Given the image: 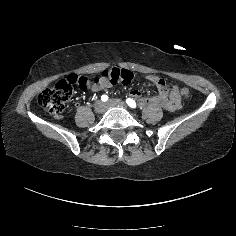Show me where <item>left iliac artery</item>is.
I'll return each instance as SVG.
<instances>
[{
    "label": "left iliac artery",
    "instance_id": "1",
    "mask_svg": "<svg viewBox=\"0 0 236 236\" xmlns=\"http://www.w3.org/2000/svg\"><path fill=\"white\" fill-rule=\"evenodd\" d=\"M126 103H127L131 108H136V102H135L133 99L128 98V99L126 100Z\"/></svg>",
    "mask_w": 236,
    "mask_h": 236
}]
</instances>
